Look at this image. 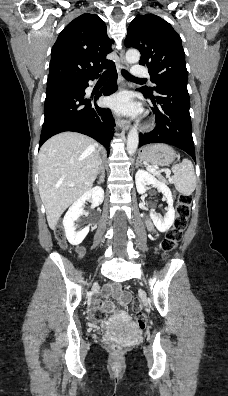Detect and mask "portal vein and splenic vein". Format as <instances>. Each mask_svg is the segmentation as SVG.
Masks as SVG:
<instances>
[{"label":"portal vein and splenic vein","instance_id":"obj_1","mask_svg":"<svg viewBox=\"0 0 228 396\" xmlns=\"http://www.w3.org/2000/svg\"><path fill=\"white\" fill-rule=\"evenodd\" d=\"M149 171H151V172H153V173H158L154 168H151V167H148L147 168ZM167 171V175H169L170 174V171L169 170H166Z\"/></svg>","mask_w":228,"mask_h":396}]
</instances>
